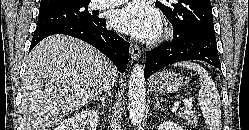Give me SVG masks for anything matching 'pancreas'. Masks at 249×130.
Instances as JSON below:
<instances>
[{
    "mask_svg": "<svg viewBox=\"0 0 249 130\" xmlns=\"http://www.w3.org/2000/svg\"><path fill=\"white\" fill-rule=\"evenodd\" d=\"M177 116L179 118L186 119L191 124H197V118L195 112L190 107L182 108L179 112H177Z\"/></svg>",
    "mask_w": 249,
    "mask_h": 130,
    "instance_id": "1",
    "label": "pancreas"
}]
</instances>
